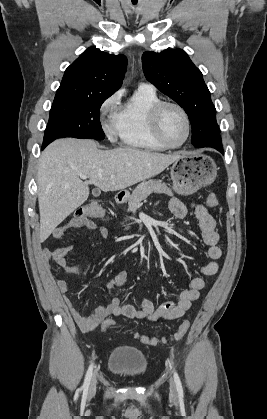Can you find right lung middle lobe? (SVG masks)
<instances>
[{"mask_svg": "<svg viewBox=\"0 0 267 419\" xmlns=\"http://www.w3.org/2000/svg\"><path fill=\"white\" fill-rule=\"evenodd\" d=\"M108 97L56 95L44 140L52 142L62 137L103 140L105 135L99 120V110Z\"/></svg>", "mask_w": 267, "mask_h": 419, "instance_id": "right-lung-middle-lobe-1", "label": "right lung middle lobe"}]
</instances>
